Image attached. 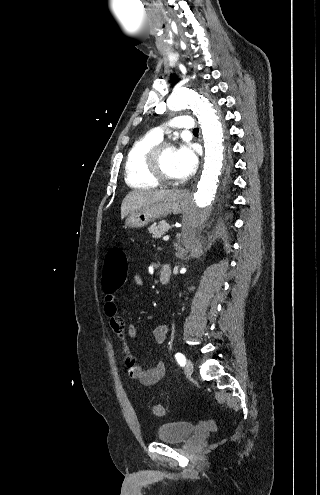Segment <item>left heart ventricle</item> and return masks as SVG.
Returning a JSON list of instances; mask_svg holds the SVG:
<instances>
[{"mask_svg": "<svg viewBox=\"0 0 320 495\" xmlns=\"http://www.w3.org/2000/svg\"><path fill=\"white\" fill-rule=\"evenodd\" d=\"M175 151L176 149L167 148L161 157V166L163 171L170 177L176 178L178 177V173L175 167Z\"/></svg>", "mask_w": 320, "mask_h": 495, "instance_id": "left-heart-ventricle-1", "label": "left heart ventricle"}]
</instances>
